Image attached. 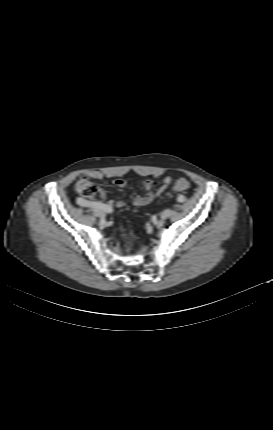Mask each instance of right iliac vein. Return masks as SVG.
Returning a JSON list of instances; mask_svg holds the SVG:
<instances>
[{
	"label": "right iliac vein",
	"instance_id": "obj_1",
	"mask_svg": "<svg viewBox=\"0 0 273 430\" xmlns=\"http://www.w3.org/2000/svg\"><path fill=\"white\" fill-rule=\"evenodd\" d=\"M94 214H95L97 217H100V218H104V217H105L104 212H103L101 209H99V208H95V209H94Z\"/></svg>",
	"mask_w": 273,
	"mask_h": 430
}]
</instances>
